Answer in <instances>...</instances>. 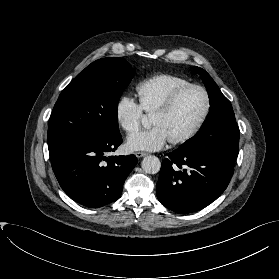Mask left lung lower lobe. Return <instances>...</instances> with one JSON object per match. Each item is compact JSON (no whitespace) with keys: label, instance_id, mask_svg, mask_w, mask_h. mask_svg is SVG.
I'll list each match as a JSON object with an SVG mask.
<instances>
[{"label":"left lung lower lobe","instance_id":"1","mask_svg":"<svg viewBox=\"0 0 279 279\" xmlns=\"http://www.w3.org/2000/svg\"><path fill=\"white\" fill-rule=\"evenodd\" d=\"M234 162L213 153L187 155L175 150L161 165L157 197L173 212L199 211L227 188Z\"/></svg>","mask_w":279,"mask_h":279}]
</instances>
